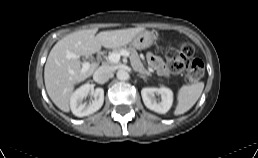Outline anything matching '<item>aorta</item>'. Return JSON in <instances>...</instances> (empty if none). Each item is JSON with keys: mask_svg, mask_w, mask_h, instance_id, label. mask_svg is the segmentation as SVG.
Here are the masks:
<instances>
[{"mask_svg": "<svg viewBox=\"0 0 258 158\" xmlns=\"http://www.w3.org/2000/svg\"><path fill=\"white\" fill-rule=\"evenodd\" d=\"M116 76L121 81H125L129 78V74L125 70H118Z\"/></svg>", "mask_w": 258, "mask_h": 158, "instance_id": "762f6f07", "label": "aorta"}]
</instances>
